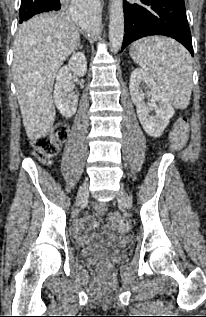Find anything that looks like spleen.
<instances>
[{"mask_svg": "<svg viewBox=\"0 0 206 317\" xmlns=\"http://www.w3.org/2000/svg\"><path fill=\"white\" fill-rule=\"evenodd\" d=\"M130 56L154 78L175 108L188 106L192 91V58L182 45L167 37H145L132 44Z\"/></svg>", "mask_w": 206, "mask_h": 317, "instance_id": "spleen-1", "label": "spleen"}]
</instances>
